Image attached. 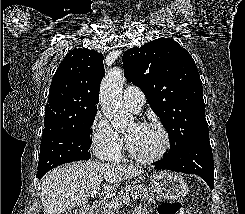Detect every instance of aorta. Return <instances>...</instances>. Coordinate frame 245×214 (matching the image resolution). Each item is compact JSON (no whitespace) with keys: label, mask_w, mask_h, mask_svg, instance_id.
Instances as JSON below:
<instances>
[{"label":"aorta","mask_w":245,"mask_h":214,"mask_svg":"<svg viewBox=\"0 0 245 214\" xmlns=\"http://www.w3.org/2000/svg\"><path fill=\"white\" fill-rule=\"evenodd\" d=\"M124 80L122 69L114 67L105 75L100 87L102 111L116 129L124 128L133 119L125 110L122 101Z\"/></svg>","instance_id":"aorta-1"}]
</instances>
